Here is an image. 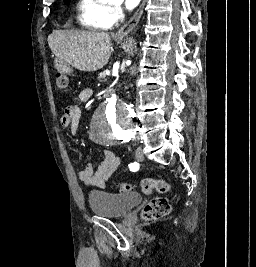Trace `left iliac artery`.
<instances>
[{
    "label": "left iliac artery",
    "instance_id": "44dca946",
    "mask_svg": "<svg viewBox=\"0 0 256 267\" xmlns=\"http://www.w3.org/2000/svg\"><path fill=\"white\" fill-rule=\"evenodd\" d=\"M129 168L131 171L133 170H138L139 169V164L137 162L129 164Z\"/></svg>",
    "mask_w": 256,
    "mask_h": 267
}]
</instances>
